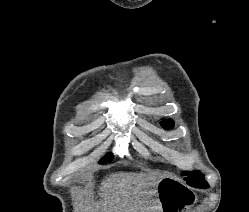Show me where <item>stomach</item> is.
<instances>
[{
    "mask_svg": "<svg viewBox=\"0 0 249 212\" xmlns=\"http://www.w3.org/2000/svg\"><path fill=\"white\" fill-rule=\"evenodd\" d=\"M162 212H183L186 206L193 204L194 194L173 178H162L156 186Z\"/></svg>",
    "mask_w": 249,
    "mask_h": 212,
    "instance_id": "1",
    "label": "stomach"
}]
</instances>
